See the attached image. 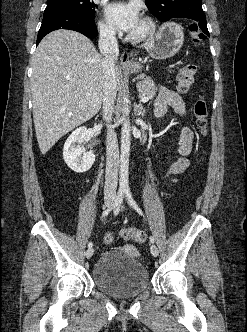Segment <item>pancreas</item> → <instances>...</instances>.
Returning <instances> with one entry per match:
<instances>
[{"label": "pancreas", "mask_w": 247, "mask_h": 332, "mask_svg": "<svg viewBox=\"0 0 247 332\" xmlns=\"http://www.w3.org/2000/svg\"><path fill=\"white\" fill-rule=\"evenodd\" d=\"M140 97L147 96L149 99H153L156 95L155 83L152 79L146 78L142 81H139L136 84Z\"/></svg>", "instance_id": "pancreas-1"}]
</instances>
